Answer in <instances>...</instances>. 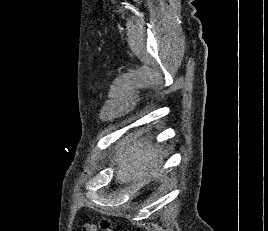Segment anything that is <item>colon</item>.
Listing matches in <instances>:
<instances>
[{
	"mask_svg": "<svg viewBox=\"0 0 268 231\" xmlns=\"http://www.w3.org/2000/svg\"><path fill=\"white\" fill-rule=\"evenodd\" d=\"M99 231H112V224L108 219H103L99 223Z\"/></svg>",
	"mask_w": 268,
	"mask_h": 231,
	"instance_id": "colon-1",
	"label": "colon"
}]
</instances>
